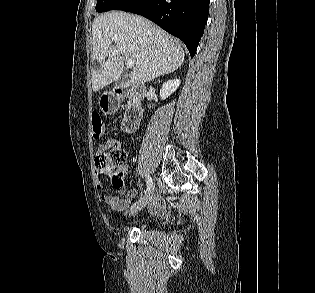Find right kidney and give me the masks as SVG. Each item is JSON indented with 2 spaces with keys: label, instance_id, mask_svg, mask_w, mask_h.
Instances as JSON below:
<instances>
[{
  "label": "right kidney",
  "instance_id": "ca27d5eb",
  "mask_svg": "<svg viewBox=\"0 0 315 293\" xmlns=\"http://www.w3.org/2000/svg\"><path fill=\"white\" fill-rule=\"evenodd\" d=\"M180 85L179 79L169 80L165 82L160 89V97L162 100L168 98L173 92L177 90Z\"/></svg>",
  "mask_w": 315,
  "mask_h": 293
}]
</instances>
